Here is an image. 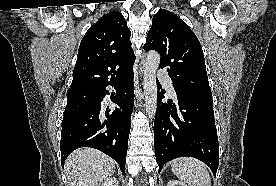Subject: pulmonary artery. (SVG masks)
<instances>
[{
  "label": "pulmonary artery",
  "mask_w": 276,
  "mask_h": 186,
  "mask_svg": "<svg viewBox=\"0 0 276 186\" xmlns=\"http://www.w3.org/2000/svg\"><path fill=\"white\" fill-rule=\"evenodd\" d=\"M157 75H158L159 79L161 80V82L164 84V86L167 89L168 93L172 97H174L175 92H174L173 82H172L171 78L168 76V74L166 73V71L159 70Z\"/></svg>",
  "instance_id": "obj_1"
}]
</instances>
